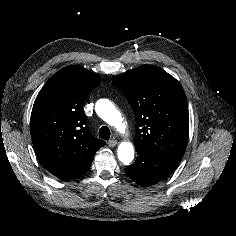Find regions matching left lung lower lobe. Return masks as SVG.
Masks as SVG:
<instances>
[{
	"label": "left lung lower lobe",
	"instance_id": "1",
	"mask_svg": "<svg viewBox=\"0 0 236 236\" xmlns=\"http://www.w3.org/2000/svg\"><path fill=\"white\" fill-rule=\"evenodd\" d=\"M137 155L135 163L126 168V173L143 187H149L164 180L180 161L143 148H137Z\"/></svg>",
	"mask_w": 236,
	"mask_h": 236
}]
</instances>
